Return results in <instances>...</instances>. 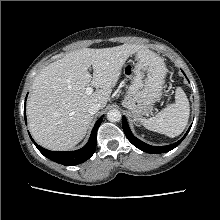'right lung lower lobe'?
<instances>
[{"instance_id": "obj_1", "label": "right lung lower lobe", "mask_w": 220, "mask_h": 220, "mask_svg": "<svg viewBox=\"0 0 220 220\" xmlns=\"http://www.w3.org/2000/svg\"><path fill=\"white\" fill-rule=\"evenodd\" d=\"M25 122H26V115H25ZM101 122H102V117L98 119V121L94 125V128L90 135V139L87 142V144L83 148L76 150V151H70V152L49 151L37 145L31 136L30 138L35 143V146L38 148V150L45 157L51 159L54 162L63 164L65 166H73V165L85 162L94 154L95 149H96V143H97V130Z\"/></svg>"}]
</instances>
